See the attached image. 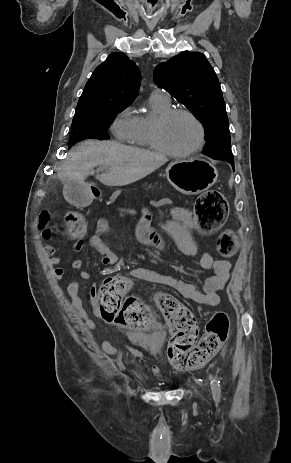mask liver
<instances>
[{"instance_id": "6515ba94", "label": "liver", "mask_w": 291, "mask_h": 463, "mask_svg": "<svg viewBox=\"0 0 291 463\" xmlns=\"http://www.w3.org/2000/svg\"><path fill=\"white\" fill-rule=\"evenodd\" d=\"M167 162L151 151L115 141L87 140L68 153L59 167L58 178L65 184L84 185L85 179L99 166L105 172L95 175L107 186H124L138 181Z\"/></svg>"}]
</instances>
